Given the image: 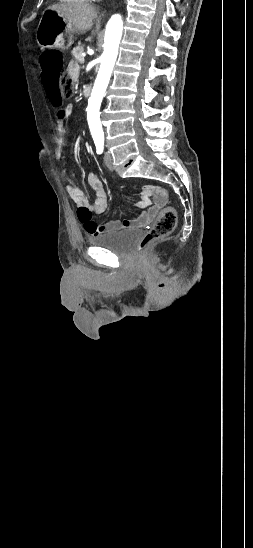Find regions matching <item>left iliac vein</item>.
<instances>
[{
	"label": "left iliac vein",
	"mask_w": 253,
	"mask_h": 548,
	"mask_svg": "<svg viewBox=\"0 0 253 548\" xmlns=\"http://www.w3.org/2000/svg\"><path fill=\"white\" fill-rule=\"evenodd\" d=\"M104 163L109 169H113V159L109 151H106L104 155Z\"/></svg>",
	"instance_id": "obj_1"
}]
</instances>
